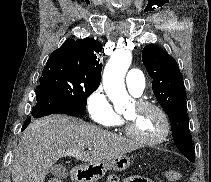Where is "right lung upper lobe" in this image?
<instances>
[{"instance_id":"cb5924a9","label":"right lung upper lobe","mask_w":211,"mask_h":182,"mask_svg":"<svg viewBox=\"0 0 211 182\" xmlns=\"http://www.w3.org/2000/svg\"><path fill=\"white\" fill-rule=\"evenodd\" d=\"M101 43L94 39H68L49 57L45 68L58 66L89 81L100 83L103 54Z\"/></svg>"}]
</instances>
